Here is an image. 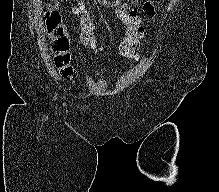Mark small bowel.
Instances as JSON below:
<instances>
[{"label":"small bowel","mask_w":219,"mask_h":192,"mask_svg":"<svg viewBox=\"0 0 219 192\" xmlns=\"http://www.w3.org/2000/svg\"><path fill=\"white\" fill-rule=\"evenodd\" d=\"M106 4L116 12L117 16L126 26V36L135 35L139 38L143 33L141 18L138 15L139 8L148 16H152L155 13L152 0H143L142 2L140 0H112ZM54 5L58 6V3L55 2ZM73 13L79 17L82 44L94 51H99L100 48L97 44L93 27L87 30L84 26L85 21L91 20L85 5L81 1H78L77 5L73 8Z\"/></svg>","instance_id":"obj_1"}]
</instances>
